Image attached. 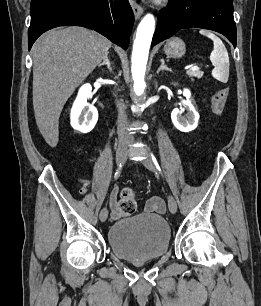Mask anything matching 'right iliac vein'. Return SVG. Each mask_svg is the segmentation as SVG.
Segmentation results:
<instances>
[{
    "label": "right iliac vein",
    "instance_id": "63e3f726",
    "mask_svg": "<svg viewBox=\"0 0 261 306\" xmlns=\"http://www.w3.org/2000/svg\"><path fill=\"white\" fill-rule=\"evenodd\" d=\"M125 145H126V142L121 141L118 148H117L116 162H117L118 166L123 165L126 161V156L127 155H126ZM107 217H108V210H107V208H103L100 211V215H99V218H100L101 222H105Z\"/></svg>",
    "mask_w": 261,
    "mask_h": 306
}]
</instances>
